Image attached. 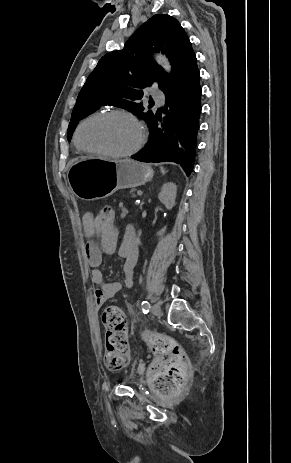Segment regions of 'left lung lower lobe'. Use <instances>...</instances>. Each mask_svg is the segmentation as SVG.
I'll use <instances>...</instances> for the list:
<instances>
[{"mask_svg": "<svg viewBox=\"0 0 291 463\" xmlns=\"http://www.w3.org/2000/svg\"><path fill=\"white\" fill-rule=\"evenodd\" d=\"M200 73L195 68L165 92L166 116L149 121V140L132 158L141 162H175L189 176L193 170L199 116L201 113Z\"/></svg>", "mask_w": 291, "mask_h": 463, "instance_id": "left-lung-lower-lobe-1", "label": "left lung lower lobe"}]
</instances>
